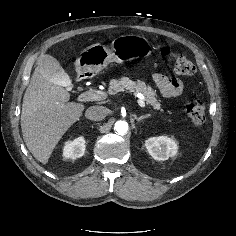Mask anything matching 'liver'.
<instances>
[{
	"instance_id": "1",
	"label": "liver",
	"mask_w": 236,
	"mask_h": 236,
	"mask_svg": "<svg viewBox=\"0 0 236 236\" xmlns=\"http://www.w3.org/2000/svg\"><path fill=\"white\" fill-rule=\"evenodd\" d=\"M69 99L66 89L48 79L39 59L23 97L21 129L29 151L43 164L84 111L83 104Z\"/></svg>"
}]
</instances>
